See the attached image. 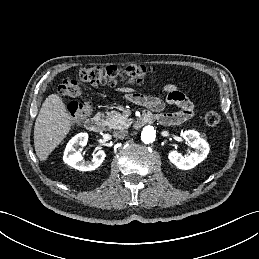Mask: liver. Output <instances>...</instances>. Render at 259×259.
Segmentation results:
<instances>
[{"label":"liver","mask_w":259,"mask_h":259,"mask_svg":"<svg viewBox=\"0 0 259 259\" xmlns=\"http://www.w3.org/2000/svg\"><path fill=\"white\" fill-rule=\"evenodd\" d=\"M71 120L58 94H51L45 99L34 126V147L41 161H45L69 133Z\"/></svg>","instance_id":"obj_1"}]
</instances>
